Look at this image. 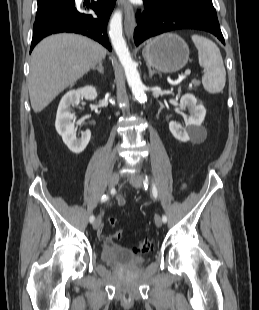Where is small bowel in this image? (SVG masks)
Wrapping results in <instances>:
<instances>
[{
    "mask_svg": "<svg viewBox=\"0 0 259 310\" xmlns=\"http://www.w3.org/2000/svg\"><path fill=\"white\" fill-rule=\"evenodd\" d=\"M185 187H186V185H183L182 189H185ZM115 203L119 206H122V205H124L125 201L122 197H117L115 200ZM98 228L99 229H98L97 235H98L99 239H101L105 245L112 244L113 243V237L105 234L103 225L99 226Z\"/></svg>",
    "mask_w": 259,
    "mask_h": 310,
    "instance_id": "c3829d8e",
    "label": "small bowel"
}]
</instances>
